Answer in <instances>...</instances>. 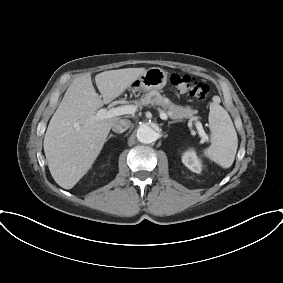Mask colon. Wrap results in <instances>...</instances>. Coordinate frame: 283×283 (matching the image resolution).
Segmentation results:
<instances>
[{
    "label": "colon",
    "instance_id": "colon-1",
    "mask_svg": "<svg viewBox=\"0 0 283 283\" xmlns=\"http://www.w3.org/2000/svg\"><path fill=\"white\" fill-rule=\"evenodd\" d=\"M170 84L177 92L189 94L200 101L205 100L210 93L209 85L187 74L173 73Z\"/></svg>",
    "mask_w": 283,
    "mask_h": 283
}]
</instances>
